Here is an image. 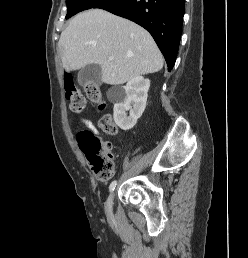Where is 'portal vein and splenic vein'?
<instances>
[{"label": "portal vein and splenic vein", "mask_w": 248, "mask_h": 258, "mask_svg": "<svg viewBox=\"0 0 248 258\" xmlns=\"http://www.w3.org/2000/svg\"><path fill=\"white\" fill-rule=\"evenodd\" d=\"M110 61H112L113 59H114V57L113 56H109V58H108Z\"/></svg>", "instance_id": "18ae733b"}]
</instances>
